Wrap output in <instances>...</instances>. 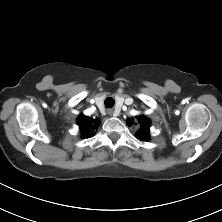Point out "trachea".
I'll return each mask as SVG.
<instances>
[{
    "instance_id": "1",
    "label": "trachea",
    "mask_w": 222,
    "mask_h": 222,
    "mask_svg": "<svg viewBox=\"0 0 222 222\" xmlns=\"http://www.w3.org/2000/svg\"><path fill=\"white\" fill-rule=\"evenodd\" d=\"M106 108H112L115 104V101L112 97H107L104 101Z\"/></svg>"
}]
</instances>
